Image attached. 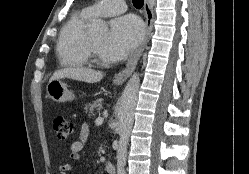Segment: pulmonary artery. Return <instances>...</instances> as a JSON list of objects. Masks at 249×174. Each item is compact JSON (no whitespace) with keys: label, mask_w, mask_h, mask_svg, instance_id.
Masks as SVG:
<instances>
[{"label":"pulmonary artery","mask_w":249,"mask_h":174,"mask_svg":"<svg viewBox=\"0 0 249 174\" xmlns=\"http://www.w3.org/2000/svg\"><path fill=\"white\" fill-rule=\"evenodd\" d=\"M125 10L126 3L124 0H100L85 9L90 16H111L120 14Z\"/></svg>","instance_id":"pulmonary-artery-1"}]
</instances>
